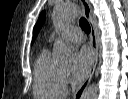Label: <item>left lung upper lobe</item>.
Instances as JSON below:
<instances>
[{"label":"left lung upper lobe","mask_w":128,"mask_h":99,"mask_svg":"<svg viewBox=\"0 0 128 99\" xmlns=\"http://www.w3.org/2000/svg\"><path fill=\"white\" fill-rule=\"evenodd\" d=\"M45 21V11H43L40 16H39V19L34 27V31H33V35H34V38L36 37L39 29L42 27L43 23Z\"/></svg>","instance_id":"1"}]
</instances>
